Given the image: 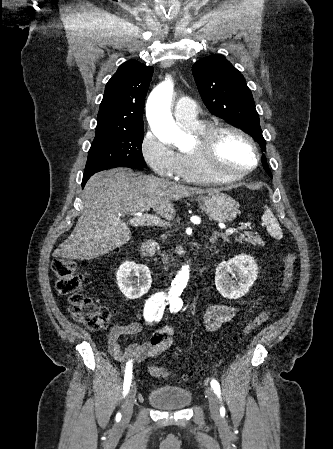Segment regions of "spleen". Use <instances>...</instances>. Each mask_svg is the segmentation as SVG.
<instances>
[{"mask_svg":"<svg viewBox=\"0 0 333 449\" xmlns=\"http://www.w3.org/2000/svg\"><path fill=\"white\" fill-rule=\"evenodd\" d=\"M265 211L262 216V221L266 225L267 231L276 239H281L283 237L282 229L277 221L276 217L266 205L264 206Z\"/></svg>","mask_w":333,"mask_h":449,"instance_id":"3e777b00","label":"spleen"}]
</instances>
